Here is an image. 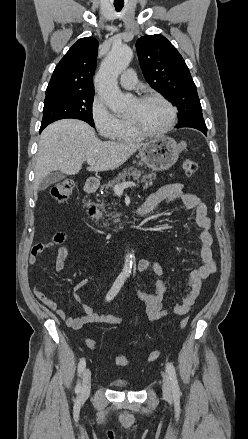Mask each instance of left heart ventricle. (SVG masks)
<instances>
[{"label":"left heart ventricle","mask_w":248,"mask_h":439,"mask_svg":"<svg viewBox=\"0 0 248 439\" xmlns=\"http://www.w3.org/2000/svg\"><path fill=\"white\" fill-rule=\"evenodd\" d=\"M127 118H135L147 130L164 129L170 121V110L165 103L158 99H150L143 103L135 100Z\"/></svg>","instance_id":"1"}]
</instances>
